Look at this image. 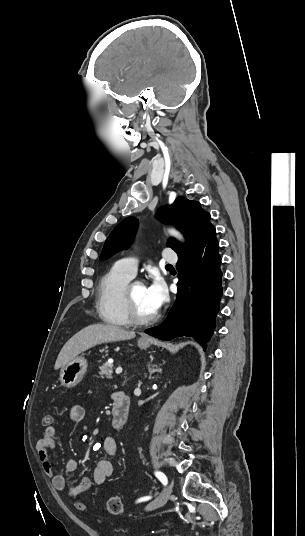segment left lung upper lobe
<instances>
[{"label":"left lung upper lobe","instance_id":"left-lung-upper-lobe-1","mask_svg":"<svg viewBox=\"0 0 305 536\" xmlns=\"http://www.w3.org/2000/svg\"><path fill=\"white\" fill-rule=\"evenodd\" d=\"M157 218L166 224L176 226L186 238V245L169 238L167 246L172 248L178 256L188 252L197 241L211 228L210 214L201 209L197 201L185 197H177L170 206L161 207ZM138 223L133 217H127L120 222L107 238L100 258H109L117 251L128 248L136 231Z\"/></svg>","mask_w":305,"mask_h":536}]
</instances>
